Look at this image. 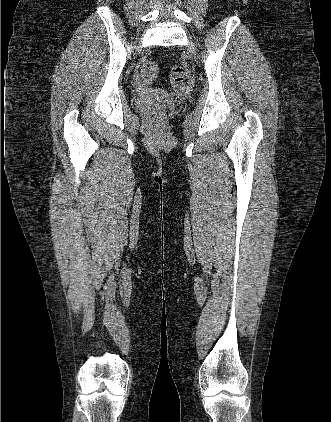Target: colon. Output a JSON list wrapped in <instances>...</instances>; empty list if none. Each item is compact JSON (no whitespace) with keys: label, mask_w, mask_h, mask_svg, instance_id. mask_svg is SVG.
<instances>
[{"label":"colon","mask_w":331,"mask_h":422,"mask_svg":"<svg viewBox=\"0 0 331 422\" xmlns=\"http://www.w3.org/2000/svg\"><path fill=\"white\" fill-rule=\"evenodd\" d=\"M158 72L159 68L155 61L148 60L142 65L141 73L147 79H153L157 77ZM170 75L172 84L175 89L182 94H185L187 92L186 81L188 77L186 67L182 64H175L171 67ZM156 115L160 116L161 113L158 112Z\"/></svg>","instance_id":"1"}]
</instances>
